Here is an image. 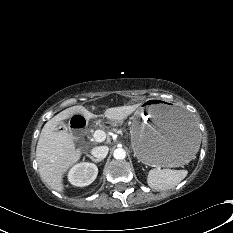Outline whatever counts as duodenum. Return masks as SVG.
Segmentation results:
<instances>
[{"mask_svg": "<svg viewBox=\"0 0 233 233\" xmlns=\"http://www.w3.org/2000/svg\"><path fill=\"white\" fill-rule=\"evenodd\" d=\"M88 122V112L84 109H77L72 114L70 129L73 133L80 135L86 131Z\"/></svg>", "mask_w": 233, "mask_h": 233, "instance_id": "410a0bca", "label": "duodenum"}]
</instances>
